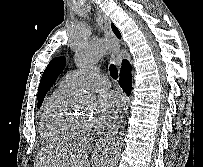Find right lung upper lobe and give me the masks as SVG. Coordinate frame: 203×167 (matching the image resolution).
Here are the masks:
<instances>
[{
	"mask_svg": "<svg viewBox=\"0 0 203 167\" xmlns=\"http://www.w3.org/2000/svg\"><path fill=\"white\" fill-rule=\"evenodd\" d=\"M111 27H112V30H113V32L115 33V35H116L118 38H121V34H120L119 30H118L113 24H111Z\"/></svg>",
	"mask_w": 203,
	"mask_h": 167,
	"instance_id": "1",
	"label": "right lung upper lobe"
}]
</instances>
